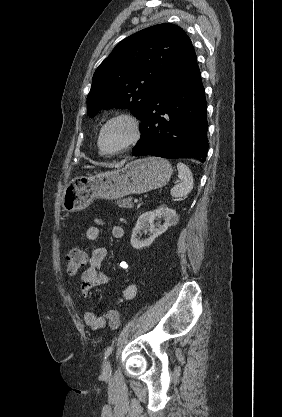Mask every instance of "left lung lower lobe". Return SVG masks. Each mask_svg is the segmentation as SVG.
I'll return each instance as SVG.
<instances>
[{"label": "left lung lower lobe", "instance_id": "1", "mask_svg": "<svg viewBox=\"0 0 282 417\" xmlns=\"http://www.w3.org/2000/svg\"><path fill=\"white\" fill-rule=\"evenodd\" d=\"M207 103L192 44L167 71L147 104L133 156L195 158L208 151Z\"/></svg>", "mask_w": 282, "mask_h": 417}]
</instances>
